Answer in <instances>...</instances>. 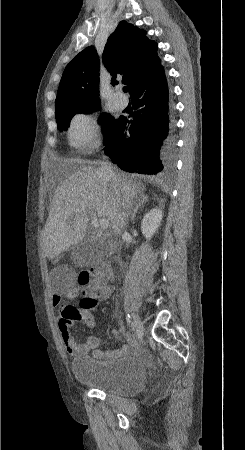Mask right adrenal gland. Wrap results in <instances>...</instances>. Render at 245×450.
I'll list each match as a JSON object with an SVG mask.
<instances>
[{"mask_svg":"<svg viewBox=\"0 0 245 450\" xmlns=\"http://www.w3.org/2000/svg\"><path fill=\"white\" fill-rule=\"evenodd\" d=\"M147 201H148V197L146 195H144L143 193H140L139 197L133 202L134 208H133V212L131 214L132 221H134V218H135L136 214L138 213L139 208H141V206H143V204H145Z\"/></svg>","mask_w":245,"mask_h":450,"instance_id":"right-adrenal-gland-1","label":"right adrenal gland"}]
</instances>
